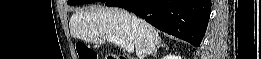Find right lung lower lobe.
Instances as JSON below:
<instances>
[{"label": "right lung lower lobe", "instance_id": "1", "mask_svg": "<svg viewBox=\"0 0 261 59\" xmlns=\"http://www.w3.org/2000/svg\"><path fill=\"white\" fill-rule=\"evenodd\" d=\"M123 7L156 28L200 46L211 11V0H107Z\"/></svg>", "mask_w": 261, "mask_h": 59}]
</instances>
